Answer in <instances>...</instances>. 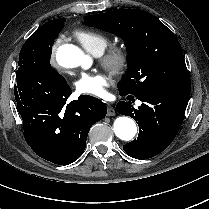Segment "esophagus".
<instances>
[{
  "mask_svg": "<svg viewBox=\"0 0 209 209\" xmlns=\"http://www.w3.org/2000/svg\"><path fill=\"white\" fill-rule=\"evenodd\" d=\"M107 115L108 116H114L116 114V111L115 109L110 105V104H107Z\"/></svg>",
  "mask_w": 209,
  "mask_h": 209,
  "instance_id": "1",
  "label": "esophagus"
}]
</instances>
